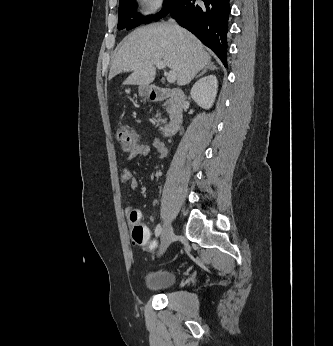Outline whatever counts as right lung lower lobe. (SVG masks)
<instances>
[{"mask_svg": "<svg viewBox=\"0 0 333 346\" xmlns=\"http://www.w3.org/2000/svg\"><path fill=\"white\" fill-rule=\"evenodd\" d=\"M230 10L229 0H179L169 13L227 66Z\"/></svg>", "mask_w": 333, "mask_h": 346, "instance_id": "1", "label": "right lung lower lobe"}]
</instances>
